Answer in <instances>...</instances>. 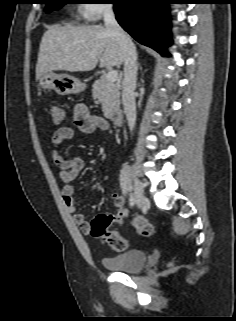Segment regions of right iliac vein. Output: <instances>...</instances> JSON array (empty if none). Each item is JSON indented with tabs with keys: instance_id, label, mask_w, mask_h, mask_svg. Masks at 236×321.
Instances as JSON below:
<instances>
[{
	"instance_id": "63e3f726",
	"label": "right iliac vein",
	"mask_w": 236,
	"mask_h": 321,
	"mask_svg": "<svg viewBox=\"0 0 236 321\" xmlns=\"http://www.w3.org/2000/svg\"><path fill=\"white\" fill-rule=\"evenodd\" d=\"M133 179H134V193L133 197L135 199V202L139 208H143L144 206L148 205V199L144 195L143 191V183L142 181L137 177L136 170L134 169L132 171Z\"/></svg>"
}]
</instances>
